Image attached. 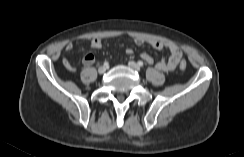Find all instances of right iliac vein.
<instances>
[{
  "mask_svg": "<svg viewBox=\"0 0 244 157\" xmlns=\"http://www.w3.org/2000/svg\"><path fill=\"white\" fill-rule=\"evenodd\" d=\"M106 69H107L106 66H100L99 69H98V72H99L100 74H104V73L106 72Z\"/></svg>",
  "mask_w": 244,
  "mask_h": 157,
  "instance_id": "obj_1",
  "label": "right iliac vein"
}]
</instances>
